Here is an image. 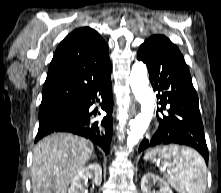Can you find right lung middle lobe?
<instances>
[{"label": "right lung middle lobe", "mask_w": 221, "mask_h": 193, "mask_svg": "<svg viewBox=\"0 0 221 193\" xmlns=\"http://www.w3.org/2000/svg\"><path fill=\"white\" fill-rule=\"evenodd\" d=\"M80 99H57L41 102L39 128L58 123L80 110Z\"/></svg>", "instance_id": "dd1d6c3e"}]
</instances>
